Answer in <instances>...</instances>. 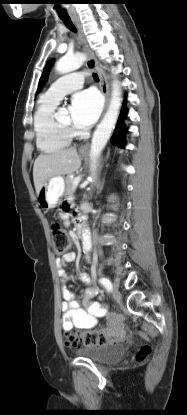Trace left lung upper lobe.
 I'll use <instances>...</instances> for the list:
<instances>
[{
    "instance_id": "left-lung-upper-lobe-1",
    "label": "left lung upper lobe",
    "mask_w": 187,
    "mask_h": 415,
    "mask_svg": "<svg viewBox=\"0 0 187 415\" xmlns=\"http://www.w3.org/2000/svg\"><path fill=\"white\" fill-rule=\"evenodd\" d=\"M52 62H53V60H50V61L46 64V66H45V68H44V70H43V73H42V75H41V78H40V81H39V84H38V90H37V93H38V92H40V90L42 89L43 85L45 84V82H46V80H47V76H48V73H49V69H50V67H51V65H52Z\"/></svg>"
}]
</instances>
